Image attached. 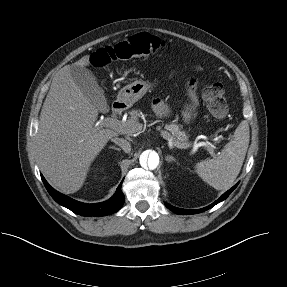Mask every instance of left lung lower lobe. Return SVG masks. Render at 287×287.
I'll return each instance as SVG.
<instances>
[{
	"instance_id": "left-lung-lower-lobe-1",
	"label": "left lung lower lobe",
	"mask_w": 287,
	"mask_h": 287,
	"mask_svg": "<svg viewBox=\"0 0 287 287\" xmlns=\"http://www.w3.org/2000/svg\"><path fill=\"white\" fill-rule=\"evenodd\" d=\"M238 184L234 185L230 190H228L226 193H224L218 200H216L214 203H212L211 205L202 208V209H197V210H186V209H180V208H176L174 206H171L167 203H165V205L172 210L173 212L177 213V214H182V215H187V214H197V213H201L203 211H206L210 208H212L213 206H215L217 203L225 200L230 194L231 192L237 187Z\"/></svg>"
}]
</instances>
